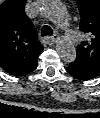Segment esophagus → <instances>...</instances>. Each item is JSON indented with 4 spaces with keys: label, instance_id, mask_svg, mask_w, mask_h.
I'll use <instances>...</instances> for the list:
<instances>
[{
    "label": "esophagus",
    "instance_id": "1",
    "mask_svg": "<svg viewBox=\"0 0 100 118\" xmlns=\"http://www.w3.org/2000/svg\"><path fill=\"white\" fill-rule=\"evenodd\" d=\"M58 39H59V36L57 34H53L51 37L44 38V42L46 44L52 45V44H55Z\"/></svg>",
    "mask_w": 100,
    "mask_h": 118
}]
</instances>
